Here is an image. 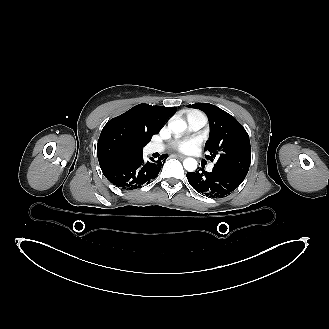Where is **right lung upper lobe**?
<instances>
[{
	"label": "right lung upper lobe",
	"mask_w": 329,
	"mask_h": 329,
	"mask_svg": "<svg viewBox=\"0 0 329 329\" xmlns=\"http://www.w3.org/2000/svg\"><path fill=\"white\" fill-rule=\"evenodd\" d=\"M176 110V107L139 104L108 121L97 144L100 167L142 155L143 147Z\"/></svg>",
	"instance_id": "1"
}]
</instances>
